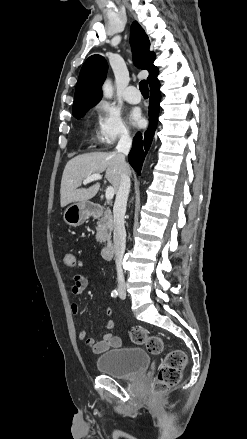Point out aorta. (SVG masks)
<instances>
[{
  "mask_svg": "<svg viewBox=\"0 0 247 439\" xmlns=\"http://www.w3.org/2000/svg\"><path fill=\"white\" fill-rule=\"evenodd\" d=\"M102 89L104 97L111 99L113 96V86L110 80H106Z\"/></svg>",
  "mask_w": 247,
  "mask_h": 439,
  "instance_id": "obj_1",
  "label": "aorta"
}]
</instances>
